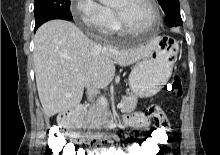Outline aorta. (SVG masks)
<instances>
[{"label": "aorta", "mask_w": 220, "mask_h": 155, "mask_svg": "<svg viewBox=\"0 0 220 155\" xmlns=\"http://www.w3.org/2000/svg\"><path fill=\"white\" fill-rule=\"evenodd\" d=\"M101 3L105 4V5H109L112 4L114 2V0H100Z\"/></svg>", "instance_id": "obj_1"}]
</instances>
